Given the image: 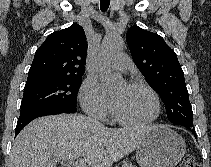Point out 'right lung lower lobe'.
<instances>
[{
	"instance_id": "right-lung-lower-lobe-1",
	"label": "right lung lower lobe",
	"mask_w": 211,
	"mask_h": 167,
	"mask_svg": "<svg viewBox=\"0 0 211 167\" xmlns=\"http://www.w3.org/2000/svg\"><path fill=\"white\" fill-rule=\"evenodd\" d=\"M76 111V108L69 107H43L21 113L17 122L15 136H17L18 133L35 118L61 113H75Z\"/></svg>"
}]
</instances>
